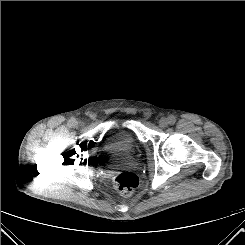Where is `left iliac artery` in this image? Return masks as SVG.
I'll return each mask as SVG.
<instances>
[{
	"label": "left iliac artery",
	"mask_w": 245,
	"mask_h": 245,
	"mask_svg": "<svg viewBox=\"0 0 245 245\" xmlns=\"http://www.w3.org/2000/svg\"><path fill=\"white\" fill-rule=\"evenodd\" d=\"M168 120H169V124L171 125H173L176 122L175 116H172V115L168 118Z\"/></svg>",
	"instance_id": "1"
}]
</instances>
